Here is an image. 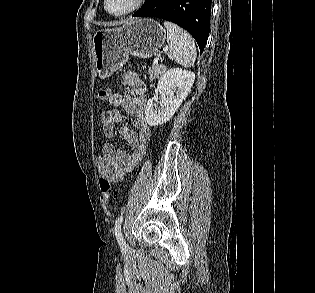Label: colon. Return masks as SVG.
<instances>
[{
  "mask_svg": "<svg viewBox=\"0 0 315 293\" xmlns=\"http://www.w3.org/2000/svg\"><path fill=\"white\" fill-rule=\"evenodd\" d=\"M112 93L113 92L111 91V89L101 90L98 93V98L101 101H106L109 99V97L111 96ZM99 186H100V190H101L103 196L106 199H110L111 197L115 196L116 193L113 190L112 183L108 179L101 178L99 181Z\"/></svg>",
  "mask_w": 315,
  "mask_h": 293,
  "instance_id": "1",
  "label": "colon"
}]
</instances>
